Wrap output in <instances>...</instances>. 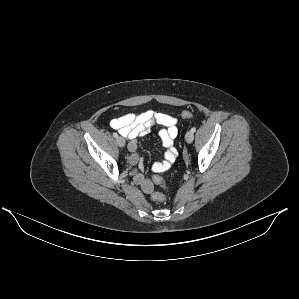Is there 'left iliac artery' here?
Returning a JSON list of instances; mask_svg holds the SVG:
<instances>
[{"instance_id": "left-iliac-artery-1", "label": "left iliac artery", "mask_w": 299, "mask_h": 299, "mask_svg": "<svg viewBox=\"0 0 299 299\" xmlns=\"http://www.w3.org/2000/svg\"><path fill=\"white\" fill-rule=\"evenodd\" d=\"M191 131L194 133V132L196 131V128L193 127V128L191 129Z\"/></svg>"}]
</instances>
